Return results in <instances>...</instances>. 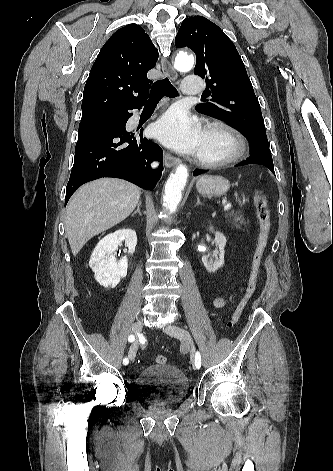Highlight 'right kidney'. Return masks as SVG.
Instances as JSON below:
<instances>
[{"mask_svg": "<svg viewBox=\"0 0 333 471\" xmlns=\"http://www.w3.org/2000/svg\"><path fill=\"white\" fill-rule=\"evenodd\" d=\"M125 241L128 252L133 254L137 245V236L131 229L117 230L99 241L93 250L89 266L95 273V280L105 288H114L127 275L126 257L116 261L114 252Z\"/></svg>", "mask_w": 333, "mask_h": 471, "instance_id": "obj_1", "label": "right kidney"}]
</instances>
